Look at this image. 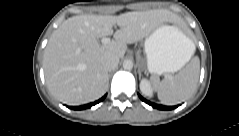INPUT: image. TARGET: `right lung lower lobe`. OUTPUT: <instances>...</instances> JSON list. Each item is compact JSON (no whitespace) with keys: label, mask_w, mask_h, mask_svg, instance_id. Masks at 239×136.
I'll return each instance as SVG.
<instances>
[{"label":"right lung lower lobe","mask_w":239,"mask_h":136,"mask_svg":"<svg viewBox=\"0 0 239 136\" xmlns=\"http://www.w3.org/2000/svg\"><path fill=\"white\" fill-rule=\"evenodd\" d=\"M106 95L103 96L101 99L93 102V103H89V104H86V105H82V106H68V108L70 109H74V110H82V109H87V108H90L91 106H94L96 104H98L99 102L103 101L105 99Z\"/></svg>","instance_id":"1"}]
</instances>
